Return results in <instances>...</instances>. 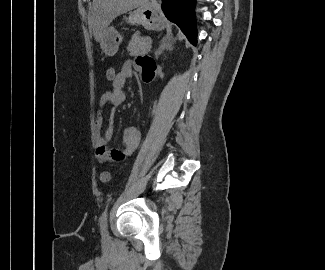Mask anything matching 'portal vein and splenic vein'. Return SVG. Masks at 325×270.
<instances>
[{
    "label": "portal vein and splenic vein",
    "instance_id": "18ae733b",
    "mask_svg": "<svg viewBox=\"0 0 325 270\" xmlns=\"http://www.w3.org/2000/svg\"><path fill=\"white\" fill-rule=\"evenodd\" d=\"M149 41H150L149 45H150V47H151V44H152V42H151V40H150V39H149Z\"/></svg>",
    "mask_w": 325,
    "mask_h": 270
}]
</instances>
